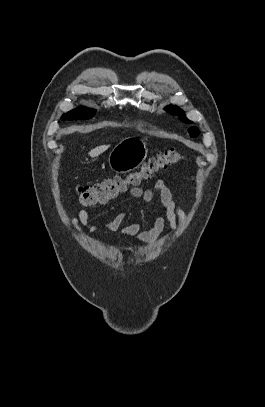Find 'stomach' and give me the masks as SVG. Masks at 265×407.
Instances as JSON below:
<instances>
[{
	"label": "stomach",
	"mask_w": 265,
	"mask_h": 407,
	"mask_svg": "<svg viewBox=\"0 0 265 407\" xmlns=\"http://www.w3.org/2000/svg\"><path fill=\"white\" fill-rule=\"evenodd\" d=\"M147 153L148 149L143 140H124L111 151L108 158L109 166L117 173L130 172L143 163Z\"/></svg>",
	"instance_id": "0dacf381"
}]
</instances>
